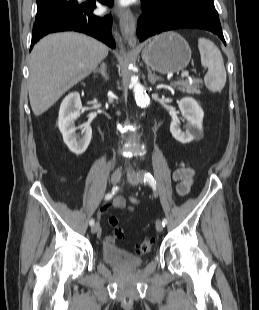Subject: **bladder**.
<instances>
[{
    "mask_svg": "<svg viewBox=\"0 0 259 310\" xmlns=\"http://www.w3.org/2000/svg\"><path fill=\"white\" fill-rule=\"evenodd\" d=\"M101 259L106 264L119 269H134L143 264V259L119 246H104Z\"/></svg>",
    "mask_w": 259,
    "mask_h": 310,
    "instance_id": "1",
    "label": "bladder"
}]
</instances>
